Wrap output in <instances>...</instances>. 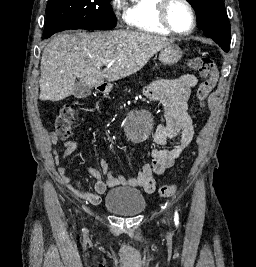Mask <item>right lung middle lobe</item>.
Masks as SVG:
<instances>
[{
    "label": "right lung middle lobe",
    "mask_w": 256,
    "mask_h": 267,
    "mask_svg": "<svg viewBox=\"0 0 256 267\" xmlns=\"http://www.w3.org/2000/svg\"><path fill=\"white\" fill-rule=\"evenodd\" d=\"M111 0H49L44 37L68 29H112L116 17Z\"/></svg>",
    "instance_id": "1"
}]
</instances>
